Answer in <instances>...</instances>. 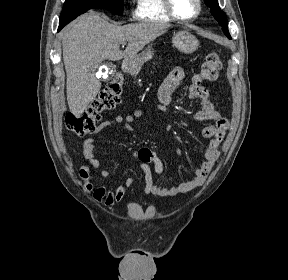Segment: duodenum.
Wrapping results in <instances>:
<instances>
[{
  "instance_id": "1",
  "label": "duodenum",
  "mask_w": 288,
  "mask_h": 280,
  "mask_svg": "<svg viewBox=\"0 0 288 280\" xmlns=\"http://www.w3.org/2000/svg\"><path fill=\"white\" fill-rule=\"evenodd\" d=\"M123 70L124 72L131 74L133 72V68L128 61H124L123 63Z\"/></svg>"
}]
</instances>
